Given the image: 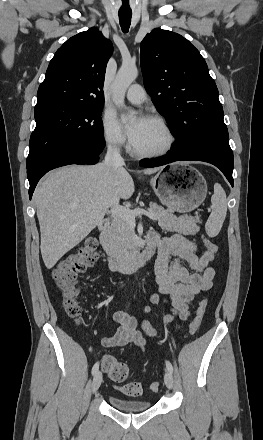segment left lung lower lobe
<instances>
[{"instance_id":"1","label":"left lung lower lobe","mask_w":263,"mask_h":440,"mask_svg":"<svg viewBox=\"0 0 263 440\" xmlns=\"http://www.w3.org/2000/svg\"><path fill=\"white\" fill-rule=\"evenodd\" d=\"M180 160H197L211 163L223 172L232 186L234 185L232 177L234 158L229 141H221L210 144L206 148L190 155H184L175 147H172L167 155L155 159L141 160L140 165L142 167H157Z\"/></svg>"}]
</instances>
